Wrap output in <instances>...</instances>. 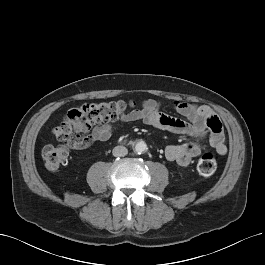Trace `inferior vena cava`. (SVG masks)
I'll return each mask as SVG.
<instances>
[{"label":"inferior vena cava","instance_id":"602c4592","mask_svg":"<svg viewBox=\"0 0 265 265\" xmlns=\"http://www.w3.org/2000/svg\"><path fill=\"white\" fill-rule=\"evenodd\" d=\"M112 153L115 157H123L128 154V149L124 146L118 145L114 147Z\"/></svg>","mask_w":265,"mask_h":265}]
</instances>
